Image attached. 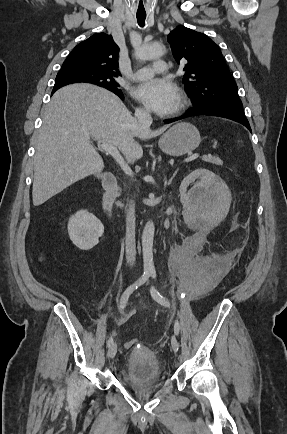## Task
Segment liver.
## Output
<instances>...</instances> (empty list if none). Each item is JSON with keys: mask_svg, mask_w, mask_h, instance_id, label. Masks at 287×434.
Segmentation results:
<instances>
[{"mask_svg": "<svg viewBox=\"0 0 287 434\" xmlns=\"http://www.w3.org/2000/svg\"><path fill=\"white\" fill-rule=\"evenodd\" d=\"M164 128H144L110 91L89 85L62 87L43 113L34 157L33 205L104 169L91 140L116 146L128 163L143 156L135 137L147 140Z\"/></svg>", "mask_w": 287, "mask_h": 434, "instance_id": "liver-1", "label": "liver"}]
</instances>
